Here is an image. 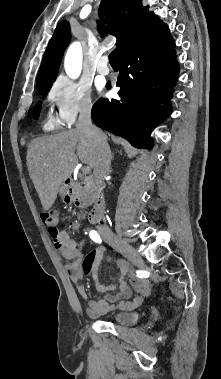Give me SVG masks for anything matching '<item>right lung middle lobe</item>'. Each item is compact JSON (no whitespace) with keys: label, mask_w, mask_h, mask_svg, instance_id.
<instances>
[{"label":"right lung middle lobe","mask_w":221,"mask_h":379,"mask_svg":"<svg viewBox=\"0 0 221 379\" xmlns=\"http://www.w3.org/2000/svg\"><path fill=\"white\" fill-rule=\"evenodd\" d=\"M50 88H51V85L39 88L37 90H38L39 94L45 95L50 90ZM40 109H41V102H38L34 108V113H33L34 118H38L39 113H40Z\"/></svg>","instance_id":"right-lung-middle-lobe-1"}]
</instances>
